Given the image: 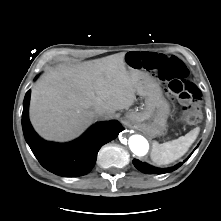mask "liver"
<instances>
[{
  "label": "liver",
  "instance_id": "6515ba94",
  "mask_svg": "<svg viewBox=\"0 0 221 221\" xmlns=\"http://www.w3.org/2000/svg\"><path fill=\"white\" fill-rule=\"evenodd\" d=\"M124 58L119 53L45 73L31 93L29 114L36 132L47 140L68 141L97 118L96 110L110 119L131 107L139 74L126 69Z\"/></svg>",
  "mask_w": 221,
  "mask_h": 221
}]
</instances>
